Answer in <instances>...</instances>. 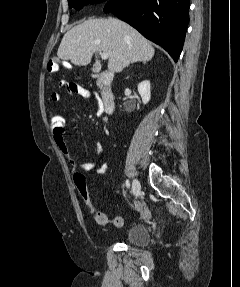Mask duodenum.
I'll list each match as a JSON object with an SVG mask.
<instances>
[{
    "instance_id": "1",
    "label": "duodenum",
    "mask_w": 240,
    "mask_h": 287,
    "mask_svg": "<svg viewBox=\"0 0 240 287\" xmlns=\"http://www.w3.org/2000/svg\"><path fill=\"white\" fill-rule=\"evenodd\" d=\"M95 79L101 87L102 104L104 111L107 114H111L115 107V99L113 94L109 91V85L112 80V73L107 70H103L99 74L95 75Z\"/></svg>"
}]
</instances>
